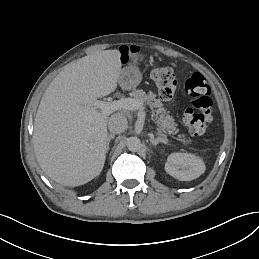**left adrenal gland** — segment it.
<instances>
[{"label":"left adrenal gland","mask_w":259,"mask_h":259,"mask_svg":"<svg viewBox=\"0 0 259 259\" xmlns=\"http://www.w3.org/2000/svg\"><path fill=\"white\" fill-rule=\"evenodd\" d=\"M150 142L156 146L158 143L162 142L164 144L168 143V139L167 138H162V137H157V138H150Z\"/></svg>","instance_id":"left-adrenal-gland-1"}]
</instances>
